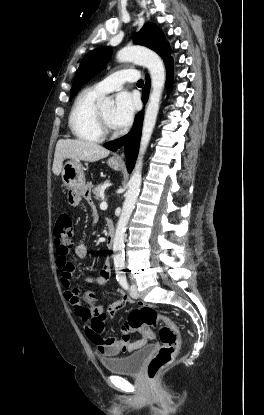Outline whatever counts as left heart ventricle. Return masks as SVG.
<instances>
[{"instance_id":"obj_1","label":"left heart ventricle","mask_w":264,"mask_h":415,"mask_svg":"<svg viewBox=\"0 0 264 415\" xmlns=\"http://www.w3.org/2000/svg\"><path fill=\"white\" fill-rule=\"evenodd\" d=\"M100 111H101L106 123L108 124L109 128L111 130H115L116 128L114 127L113 122H112V111H113L112 107H109V106L108 107H102V108H100Z\"/></svg>"}]
</instances>
